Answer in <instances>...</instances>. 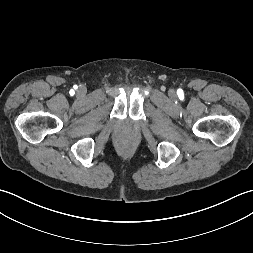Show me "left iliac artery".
<instances>
[{"instance_id": "obj_1", "label": "left iliac artery", "mask_w": 253, "mask_h": 253, "mask_svg": "<svg viewBox=\"0 0 253 253\" xmlns=\"http://www.w3.org/2000/svg\"><path fill=\"white\" fill-rule=\"evenodd\" d=\"M179 95H182V91L178 93Z\"/></svg>"}]
</instances>
